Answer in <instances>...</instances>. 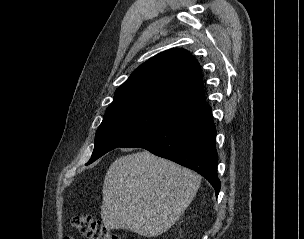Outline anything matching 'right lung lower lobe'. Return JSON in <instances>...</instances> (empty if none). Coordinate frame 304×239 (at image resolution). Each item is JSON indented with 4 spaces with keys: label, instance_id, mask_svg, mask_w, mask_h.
I'll return each mask as SVG.
<instances>
[{
    "label": "right lung lower lobe",
    "instance_id": "98d812e1",
    "mask_svg": "<svg viewBox=\"0 0 304 239\" xmlns=\"http://www.w3.org/2000/svg\"><path fill=\"white\" fill-rule=\"evenodd\" d=\"M212 111L206 103L170 119L120 147H139L172 160L204 176L218 196V154Z\"/></svg>",
    "mask_w": 304,
    "mask_h": 239
}]
</instances>
